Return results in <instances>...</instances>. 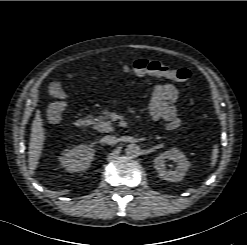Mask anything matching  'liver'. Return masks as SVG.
<instances>
[{
  "mask_svg": "<svg viewBox=\"0 0 247 245\" xmlns=\"http://www.w3.org/2000/svg\"><path fill=\"white\" fill-rule=\"evenodd\" d=\"M44 141H45V132L43 129V123L39 112H37L31 126L29 152H28L29 170L31 174H34L38 166Z\"/></svg>",
  "mask_w": 247,
  "mask_h": 245,
  "instance_id": "liver-1",
  "label": "liver"
}]
</instances>
